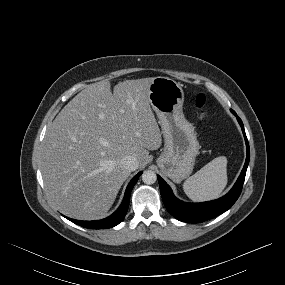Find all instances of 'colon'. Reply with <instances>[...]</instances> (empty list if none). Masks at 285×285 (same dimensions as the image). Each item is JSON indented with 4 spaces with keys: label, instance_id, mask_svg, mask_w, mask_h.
<instances>
[{
    "label": "colon",
    "instance_id": "1",
    "mask_svg": "<svg viewBox=\"0 0 285 285\" xmlns=\"http://www.w3.org/2000/svg\"><path fill=\"white\" fill-rule=\"evenodd\" d=\"M195 105L197 109L200 111V118L205 119L207 118V112H206V105H207V97L205 94H198L195 98Z\"/></svg>",
    "mask_w": 285,
    "mask_h": 285
}]
</instances>
